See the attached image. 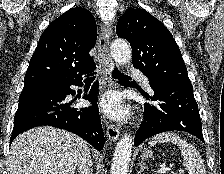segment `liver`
Listing matches in <instances>:
<instances>
[{
	"label": "liver",
	"mask_w": 224,
	"mask_h": 174,
	"mask_svg": "<svg viewBox=\"0 0 224 174\" xmlns=\"http://www.w3.org/2000/svg\"><path fill=\"white\" fill-rule=\"evenodd\" d=\"M88 143L52 126L30 129L13 141L8 174H74Z\"/></svg>",
	"instance_id": "1"
}]
</instances>
